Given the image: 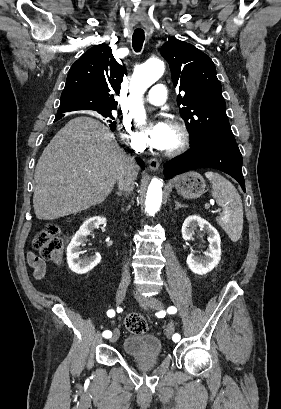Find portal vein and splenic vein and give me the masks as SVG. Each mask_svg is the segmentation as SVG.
I'll list each match as a JSON object with an SVG mask.
<instances>
[{
    "instance_id": "portal-vein-and-splenic-vein-1",
    "label": "portal vein and splenic vein",
    "mask_w": 281,
    "mask_h": 409,
    "mask_svg": "<svg viewBox=\"0 0 281 409\" xmlns=\"http://www.w3.org/2000/svg\"><path fill=\"white\" fill-rule=\"evenodd\" d=\"M207 200H212V198H211V197H208ZM214 213H215V214H219V213H220V210H219V209H215V210H214Z\"/></svg>"
}]
</instances>
